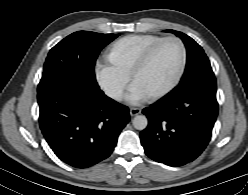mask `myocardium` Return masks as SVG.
Instances as JSON below:
<instances>
[{"label":"myocardium","mask_w":248,"mask_h":195,"mask_svg":"<svg viewBox=\"0 0 248 195\" xmlns=\"http://www.w3.org/2000/svg\"><path fill=\"white\" fill-rule=\"evenodd\" d=\"M175 41L177 43L180 44L181 49H182V59H181V64L180 67L178 69L177 74L175 75V77L173 78V80L162 90L157 91V92H152V93H146L149 96L153 97V98H159L162 97L164 95H166L167 93H169L180 81L185 67H186V62H187V49L186 46L184 44V42L178 38V37H169L166 38L165 40H163L161 43H159L149 54L148 56L143 60V62L141 63V65L139 66V68L136 70L134 76H133V80L132 83L134 86H137L138 81L140 79V77L142 76V74H144L147 70L150 69V67L153 65V63L155 62L157 55L159 54L160 50L169 42Z\"/></svg>","instance_id":"obj_1"}]
</instances>
